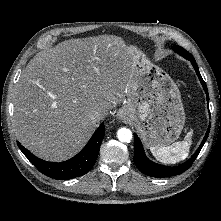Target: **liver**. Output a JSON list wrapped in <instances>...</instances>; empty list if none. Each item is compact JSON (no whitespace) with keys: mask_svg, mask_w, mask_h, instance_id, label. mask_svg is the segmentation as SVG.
<instances>
[{"mask_svg":"<svg viewBox=\"0 0 221 221\" xmlns=\"http://www.w3.org/2000/svg\"><path fill=\"white\" fill-rule=\"evenodd\" d=\"M132 52L114 35L70 39L38 52L22 71L14 96L17 139L47 161L76 155L94 133V110L106 116L125 100Z\"/></svg>","mask_w":221,"mask_h":221,"instance_id":"1","label":"liver"}]
</instances>
